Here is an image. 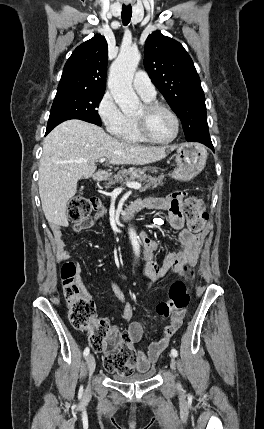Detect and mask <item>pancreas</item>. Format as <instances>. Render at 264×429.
<instances>
[{"instance_id": "pancreas-1", "label": "pancreas", "mask_w": 264, "mask_h": 429, "mask_svg": "<svg viewBox=\"0 0 264 429\" xmlns=\"http://www.w3.org/2000/svg\"><path fill=\"white\" fill-rule=\"evenodd\" d=\"M123 178L128 182L135 181L136 178H138L140 182L145 184L140 190H147L149 188L154 189L159 185H163L164 175L161 174L158 177H152L151 175L145 174L144 171L141 170H122L105 183V188L108 189L115 183L121 182Z\"/></svg>"}]
</instances>
